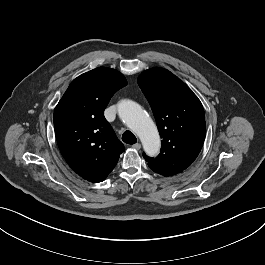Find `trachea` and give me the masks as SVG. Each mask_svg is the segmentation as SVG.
<instances>
[{
  "mask_svg": "<svg viewBox=\"0 0 265 265\" xmlns=\"http://www.w3.org/2000/svg\"><path fill=\"white\" fill-rule=\"evenodd\" d=\"M122 140L123 142L130 145L135 144L137 142V138L135 137V135L128 130L123 133Z\"/></svg>",
  "mask_w": 265,
  "mask_h": 265,
  "instance_id": "obj_1",
  "label": "trachea"
}]
</instances>
